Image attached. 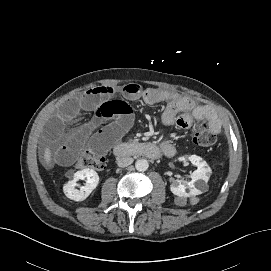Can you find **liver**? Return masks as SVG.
<instances>
[{
  "label": "liver",
  "instance_id": "6515ba94",
  "mask_svg": "<svg viewBox=\"0 0 271 271\" xmlns=\"http://www.w3.org/2000/svg\"><path fill=\"white\" fill-rule=\"evenodd\" d=\"M51 157H52L51 151H50L49 147H46L44 150V160H45L47 167H49L51 165V160H52Z\"/></svg>",
  "mask_w": 271,
  "mask_h": 271
}]
</instances>
